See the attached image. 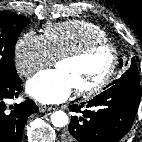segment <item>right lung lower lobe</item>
<instances>
[{
  "label": "right lung lower lobe",
  "instance_id": "98d812e1",
  "mask_svg": "<svg viewBox=\"0 0 142 142\" xmlns=\"http://www.w3.org/2000/svg\"><path fill=\"white\" fill-rule=\"evenodd\" d=\"M19 77L8 83H0V142H21L24 125L29 115L38 111L32 100H26L9 111L5 104L7 99L18 97L22 91Z\"/></svg>",
  "mask_w": 142,
  "mask_h": 142
}]
</instances>
